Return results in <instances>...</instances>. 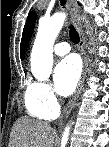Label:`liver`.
Here are the masks:
<instances>
[{
    "mask_svg": "<svg viewBox=\"0 0 109 147\" xmlns=\"http://www.w3.org/2000/svg\"><path fill=\"white\" fill-rule=\"evenodd\" d=\"M53 143L54 133L48 123L21 117L12 127L8 147H52Z\"/></svg>",
    "mask_w": 109,
    "mask_h": 147,
    "instance_id": "1",
    "label": "liver"
}]
</instances>
